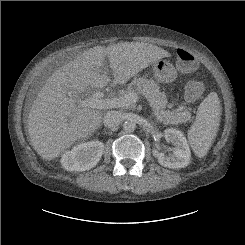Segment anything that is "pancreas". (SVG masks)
<instances>
[{
    "mask_svg": "<svg viewBox=\"0 0 245 245\" xmlns=\"http://www.w3.org/2000/svg\"><path fill=\"white\" fill-rule=\"evenodd\" d=\"M132 92L145 95L156 119L164 125L185 123L191 118V113L187 109L165 110L167 105L166 95L160 92V87L153 80L134 78L129 83L125 94Z\"/></svg>",
    "mask_w": 245,
    "mask_h": 245,
    "instance_id": "1",
    "label": "pancreas"
}]
</instances>
